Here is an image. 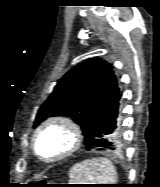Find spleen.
<instances>
[{
    "label": "spleen",
    "instance_id": "1",
    "mask_svg": "<svg viewBox=\"0 0 160 187\" xmlns=\"http://www.w3.org/2000/svg\"><path fill=\"white\" fill-rule=\"evenodd\" d=\"M69 176L73 184H114L117 180L112 162L102 157L75 164Z\"/></svg>",
    "mask_w": 160,
    "mask_h": 187
}]
</instances>
